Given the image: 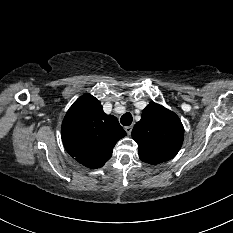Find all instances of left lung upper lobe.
Wrapping results in <instances>:
<instances>
[{"label":"left lung upper lobe","instance_id":"5c2ea615","mask_svg":"<svg viewBox=\"0 0 233 233\" xmlns=\"http://www.w3.org/2000/svg\"><path fill=\"white\" fill-rule=\"evenodd\" d=\"M142 161L158 164L172 159L183 143L184 129L179 117L151 102L132 130Z\"/></svg>","mask_w":233,"mask_h":233}]
</instances>
